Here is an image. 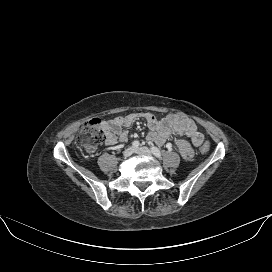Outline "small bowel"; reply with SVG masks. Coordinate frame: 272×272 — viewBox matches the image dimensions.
Returning <instances> with one entry per match:
<instances>
[{"mask_svg":"<svg viewBox=\"0 0 272 272\" xmlns=\"http://www.w3.org/2000/svg\"><path fill=\"white\" fill-rule=\"evenodd\" d=\"M144 119L147 122L149 133L148 140L157 145H164L170 138H174L175 145L185 160L192 159L194 155L193 145L198 147L204 141L203 134L198 130L195 122L181 115H169L163 119H157L151 113H131L126 116H117L101 122L105 133V142L113 146L118 142L124 143L128 139V132L125 129L135 121ZM186 136L189 140L181 138ZM96 146L87 148L94 152Z\"/></svg>","mask_w":272,"mask_h":272,"instance_id":"1","label":"small bowel"}]
</instances>
